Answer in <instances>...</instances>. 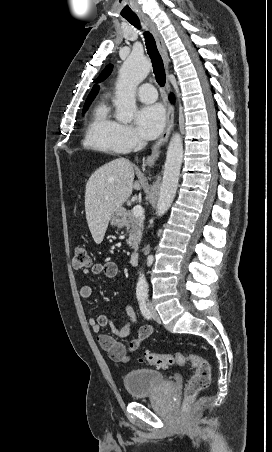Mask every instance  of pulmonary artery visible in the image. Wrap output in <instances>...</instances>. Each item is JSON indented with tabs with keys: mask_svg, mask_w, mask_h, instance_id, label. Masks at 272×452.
I'll list each match as a JSON object with an SVG mask.
<instances>
[{
	"mask_svg": "<svg viewBox=\"0 0 272 452\" xmlns=\"http://www.w3.org/2000/svg\"><path fill=\"white\" fill-rule=\"evenodd\" d=\"M138 98L143 103H152L157 99L155 87L150 83L142 84L138 89Z\"/></svg>",
	"mask_w": 272,
	"mask_h": 452,
	"instance_id": "pulmonary-artery-1",
	"label": "pulmonary artery"
}]
</instances>
